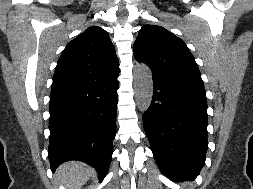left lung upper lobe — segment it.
Returning <instances> with one entry per match:
<instances>
[{"label": "left lung upper lobe", "mask_w": 253, "mask_h": 189, "mask_svg": "<svg viewBox=\"0 0 253 189\" xmlns=\"http://www.w3.org/2000/svg\"><path fill=\"white\" fill-rule=\"evenodd\" d=\"M134 56L152 70L153 81L164 82L206 96L194 56L182 39L165 28L144 25L133 46Z\"/></svg>", "instance_id": "1"}]
</instances>
